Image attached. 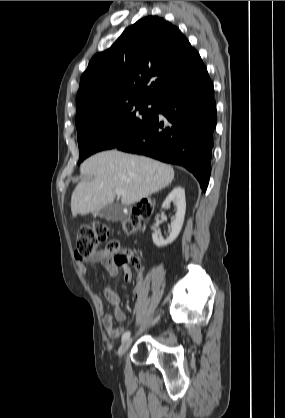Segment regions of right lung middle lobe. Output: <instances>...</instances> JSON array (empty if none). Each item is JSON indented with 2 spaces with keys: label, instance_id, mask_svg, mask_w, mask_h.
<instances>
[{
  "label": "right lung middle lobe",
  "instance_id": "obj_1",
  "mask_svg": "<svg viewBox=\"0 0 285 418\" xmlns=\"http://www.w3.org/2000/svg\"><path fill=\"white\" fill-rule=\"evenodd\" d=\"M132 102L110 107L76 124L80 158L116 148L140 133L156 116L157 104Z\"/></svg>",
  "mask_w": 285,
  "mask_h": 418
}]
</instances>
